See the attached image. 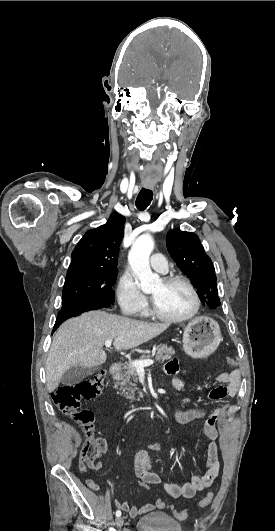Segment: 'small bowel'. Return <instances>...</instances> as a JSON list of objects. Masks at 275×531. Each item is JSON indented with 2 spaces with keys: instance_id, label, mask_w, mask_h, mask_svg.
Masks as SVG:
<instances>
[{
  "instance_id": "small-bowel-1",
  "label": "small bowel",
  "mask_w": 275,
  "mask_h": 531,
  "mask_svg": "<svg viewBox=\"0 0 275 531\" xmlns=\"http://www.w3.org/2000/svg\"><path fill=\"white\" fill-rule=\"evenodd\" d=\"M180 361L173 358L166 364V371L174 375L171 383L172 390L175 393H181L186 388V381L179 375ZM241 374L239 370L230 372H221L216 375L215 381L227 388V396L234 397L237 394L240 384ZM225 410L224 406L218 407L205 421L203 425V433L210 440L206 449V464L205 473L203 476H194L189 482L183 484L164 483L165 491L172 498H192L196 492L205 490L218 476L220 470L219 446L216 442L219 432L217 423ZM206 415V409L202 407H193L187 410L174 409L173 416L179 423H188L190 421L203 418ZM152 450L159 451L160 445L154 443L151 445ZM99 470V469H94ZM134 472L138 480L146 478L149 483L159 485L162 483L160 476L153 471L149 454L146 451H139L134 462ZM97 492L99 485L96 488H90ZM114 505L121 511H127L132 518L143 514L150 513L154 510L152 503H145L141 507L130 506L129 503L122 499H115Z\"/></svg>"
}]
</instances>
